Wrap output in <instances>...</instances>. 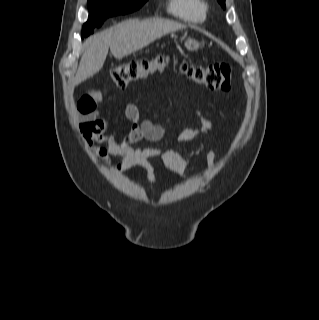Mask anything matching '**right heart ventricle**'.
I'll return each instance as SVG.
<instances>
[{"label": "right heart ventricle", "instance_id": "obj_1", "mask_svg": "<svg viewBox=\"0 0 319 320\" xmlns=\"http://www.w3.org/2000/svg\"><path fill=\"white\" fill-rule=\"evenodd\" d=\"M167 11L185 21L202 22L206 17L208 5L205 0H170Z\"/></svg>", "mask_w": 319, "mask_h": 320}]
</instances>
